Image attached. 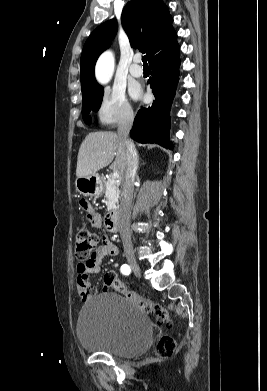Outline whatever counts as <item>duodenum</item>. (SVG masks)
<instances>
[{"label": "duodenum", "instance_id": "1", "mask_svg": "<svg viewBox=\"0 0 267 391\" xmlns=\"http://www.w3.org/2000/svg\"><path fill=\"white\" fill-rule=\"evenodd\" d=\"M119 212L113 208L104 217V227L108 232H116L118 229Z\"/></svg>", "mask_w": 267, "mask_h": 391}]
</instances>
